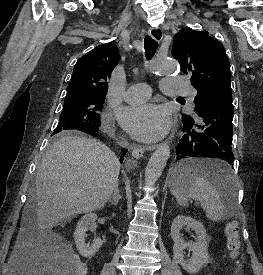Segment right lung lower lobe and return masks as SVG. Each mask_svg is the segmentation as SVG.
I'll list each match as a JSON object with an SVG mask.
<instances>
[{
    "label": "right lung lower lobe",
    "instance_id": "1",
    "mask_svg": "<svg viewBox=\"0 0 263 275\" xmlns=\"http://www.w3.org/2000/svg\"><path fill=\"white\" fill-rule=\"evenodd\" d=\"M84 132L87 133V134H90V135H92L94 137H98L99 136V134L96 133L97 131H84ZM126 151L127 150H125L124 148L122 149V156H121V159H120L121 162L123 161V158H124V155H125Z\"/></svg>",
    "mask_w": 263,
    "mask_h": 275
}]
</instances>
